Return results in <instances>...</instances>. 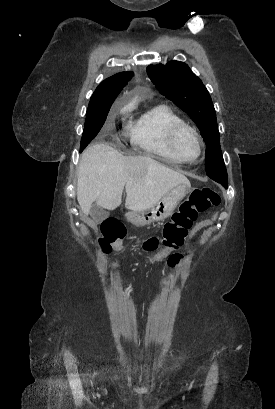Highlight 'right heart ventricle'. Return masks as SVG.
<instances>
[{"mask_svg":"<svg viewBox=\"0 0 275 409\" xmlns=\"http://www.w3.org/2000/svg\"><path fill=\"white\" fill-rule=\"evenodd\" d=\"M184 123L169 107L157 106L130 122L127 133L133 149L154 157H173L169 148L170 132Z\"/></svg>","mask_w":275,"mask_h":409,"instance_id":"obj_1","label":"right heart ventricle"}]
</instances>
